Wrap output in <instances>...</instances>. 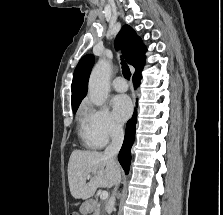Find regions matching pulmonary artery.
Masks as SVG:
<instances>
[{"label": "pulmonary artery", "mask_w": 223, "mask_h": 215, "mask_svg": "<svg viewBox=\"0 0 223 215\" xmlns=\"http://www.w3.org/2000/svg\"><path fill=\"white\" fill-rule=\"evenodd\" d=\"M112 86L117 91H126L128 89L127 81L123 77H117L113 80Z\"/></svg>", "instance_id": "e3ab8cb5"}]
</instances>
